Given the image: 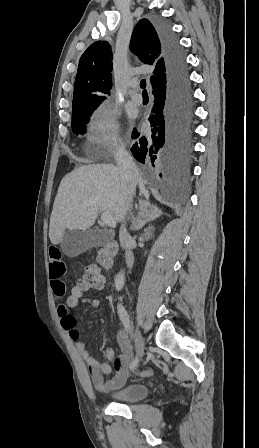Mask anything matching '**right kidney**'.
<instances>
[{"mask_svg": "<svg viewBox=\"0 0 259 448\" xmlns=\"http://www.w3.org/2000/svg\"><path fill=\"white\" fill-rule=\"evenodd\" d=\"M124 286V276L123 274H118L115 278V288L116 290H121Z\"/></svg>", "mask_w": 259, "mask_h": 448, "instance_id": "obj_1", "label": "right kidney"}]
</instances>
